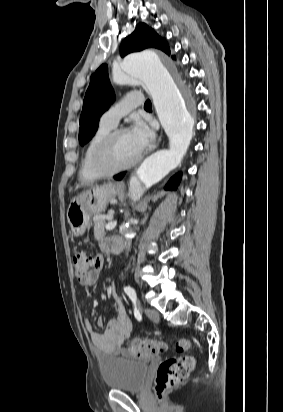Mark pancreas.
I'll use <instances>...</instances> for the list:
<instances>
[{
    "mask_svg": "<svg viewBox=\"0 0 283 412\" xmlns=\"http://www.w3.org/2000/svg\"><path fill=\"white\" fill-rule=\"evenodd\" d=\"M105 225L106 221L102 217L94 220V236L97 240L101 239L105 235Z\"/></svg>",
    "mask_w": 283,
    "mask_h": 412,
    "instance_id": "obj_1",
    "label": "pancreas"
}]
</instances>
